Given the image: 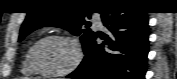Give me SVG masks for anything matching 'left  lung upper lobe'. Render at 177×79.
<instances>
[{
    "mask_svg": "<svg viewBox=\"0 0 177 79\" xmlns=\"http://www.w3.org/2000/svg\"><path fill=\"white\" fill-rule=\"evenodd\" d=\"M37 2L36 8L28 13L21 27L19 41H22L25 36L40 27L56 26L69 30L74 35L82 34L81 42L85 52L95 33L90 29H81L82 25L89 27L88 23L84 20V13L81 11L86 7L102 10L104 8L100 5L102 2L75 1L78 3H64L65 1L59 0H41ZM61 4H75L77 7L71 10L54 8Z\"/></svg>",
    "mask_w": 177,
    "mask_h": 79,
    "instance_id": "left-lung-upper-lobe-1",
    "label": "left lung upper lobe"
}]
</instances>
